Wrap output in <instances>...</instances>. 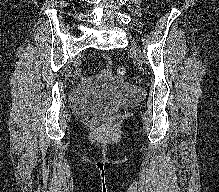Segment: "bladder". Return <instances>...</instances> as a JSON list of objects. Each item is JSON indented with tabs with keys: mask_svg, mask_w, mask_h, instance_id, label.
<instances>
[{
	"mask_svg": "<svg viewBox=\"0 0 219 192\" xmlns=\"http://www.w3.org/2000/svg\"><path fill=\"white\" fill-rule=\"evenodd\" d=\"M140 95L138 87L108 78L98 89L79 87L71 93V103L86 115H107Z\"/></svg>",
	"mask_w": 219,
	"mask_h": 192,
	"instance_id": "bladder-1",
	"label": "bladder"
}]
</instances>
